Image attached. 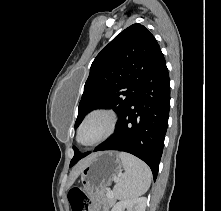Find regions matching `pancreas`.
<instances>
[{
	"label": "pancreas",
	"instance_id": "cf45deb5",
	"mask_svg": "<svg viewBox=\"0 0 221 211\" xmlns=\"http://www.w3.org/2000/svg\"><path fill=\"white\" fill-rule=\"evenodd\" d=\"M107 203H108L109 206H112L115 203V198L114 197L108 198Z\"/></svg>",
	"mask_w": 221,
	"mask_h": 211
}]
</instances>
